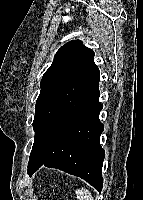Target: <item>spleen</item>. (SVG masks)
<instances>
[{"instance_id":"3e777b00","label":"spleen","mask_w":143,"mask_h":200,"mask_svg":"<svg viewBox=\"0 0 143 200\" xmlns=\"http://www.w3.org/2000/svg\"><path fill=\"white\" fill-rule=\"evenodd\" d=\"M77 200H94L92 193L86 188H80L76 191Z\"/></svg>"}]
</instances>
